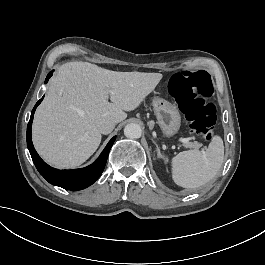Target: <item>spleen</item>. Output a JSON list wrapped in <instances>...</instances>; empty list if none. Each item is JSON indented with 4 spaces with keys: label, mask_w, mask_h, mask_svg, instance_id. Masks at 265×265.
Segmentation results:
<instances>
[{
    "label": "spleen",
    "mask_w": 265,
    "mask_h": 265,
    "mask_svg": "<svg viewBox=\"0 0 265 265\" xmlns=\"http://www.w3.org/2000/svg\"><path fill=\"white\" fill-rule=\"evenodd\" d=\"M223 160V141L214 136L205 152L198 149L183 151L172 159L173 180L184 188L200 187L215 177Z\"/></svg>",
    "instance_id": "1"
}]
</instances>
